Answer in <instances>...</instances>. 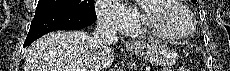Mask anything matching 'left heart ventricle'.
<instances>
[{"mask_svg": "<svg viewBox=\"0 0 230 71\" xmlns=\"http://www.w3.org/2000/svg\"><path fill=\"white\" fill-rule=\"evenodd\" d=\"M150 5L149 18L164 30L174 33H184L189 29V20L183 11L172 6V0H158L146 3Z\"/></svg>", "mask_w": 230, "mask_h": 71, "instance_id": "1", "label": "left heart ventricle"}]
</instances>
